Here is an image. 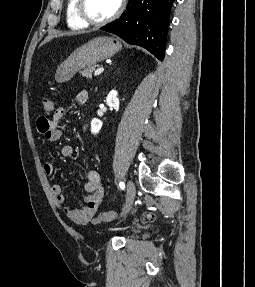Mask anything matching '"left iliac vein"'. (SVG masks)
<instances>
[{
	"label": "left iliac vein",
	"mask_w": 255,
	"mask_h": 287,
	"mask_svg": "<svg viewBox=\"0 0 255 287\" xmlns=\"http://www.w3.org/2000/svg\"><path fill=\"white\" fill-rule=\"evenodd\" d=\"M135 195H136V188L133 181L130 180L127 183L126 202L121 213L122 216L126 215L130 211L134 203Z\"/></svg>",
	"instance_id": "1"
}]
</instances>
